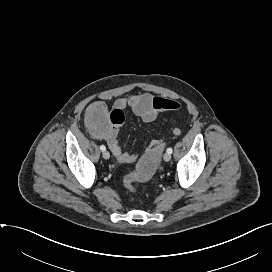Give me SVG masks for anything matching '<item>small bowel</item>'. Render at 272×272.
<instances>
[{
    "instance_id": "small-bowel-1",
    "label": "small bowel",
    "mask_w": 272,
    "mask_h": 272,
    "mask_svg": "<svg viewBox=\"0 0 272 272\" xmlns=\"http://www.w3.org/2000/svg\"><path fill=\"white\" fill-rule=\"evenodd\" d=\"M114 106L116 109L125 110L127 108L144 122H153L163 112H171L180 109L181 104L178 101L163 98L159 96H152L148 93H140L137 95H127L118 98ZM172 133L176 136L181 134L179 127H174ZM118 128L111 127L101 134H94L98 139L106 141L108 148L116 159L120 162L131 163L137 159V155L123 151L117 140ZM159 141L153 140L150 145H157Z\"/></svg>"
}]
</instances>
